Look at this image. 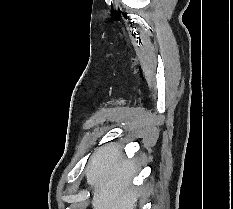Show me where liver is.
Segmentation results:
<instances>
[{"mask_svg": "<svg viewBox=\"0 0 233 209\" xmlns=\"http://www.w3.org/2000/svg\"><path fill=\"white\" fill-rule=\"evenodd\" d=\"M135 171L134 162L124 158L116 144L96 151L85 171L93 189V209H135L139 198L132 186Z\"/></svg>", "mask_w": 233, "mask_h": 209, "instance_id": "liver-1", "label": "liver"}]
</instances>
